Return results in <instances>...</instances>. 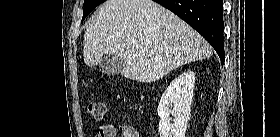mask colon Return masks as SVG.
Segmentation results:
<instances>
[{"instance_id": "5ec220e1", "label": "colon", "mask_w": 280, "mask_h": 137, "mask_svg": "<svg viewBox=\"0 0 280 137\" xmlns=\"http://www.w3.org/2000/svg\"><path fill=\"white\" fill-rule=\"evenodd\" d=\"M87 113L96 121H101L105 114V105L102 102L93 101L86 105Z\"/></svg>"}]
</instances>
